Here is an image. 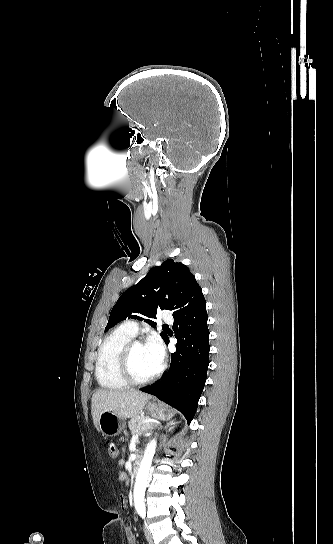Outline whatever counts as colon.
<instances>
[{"label":"colon","instance_id":"5ec220e1","mask_svg":"<svg viewBox=\"0 0 333 544\" xmlns=\"http://www.w3.org/2000/svg\"><path fill=\"white\" fill-rule=\"evenodd\" d=\"M106 448L110 458L114 459L117 457L118 452H117V447L114 441L108 440L106 442Z\"/></svg>","mask_w":333,"mask_h":544}]
</instances>
